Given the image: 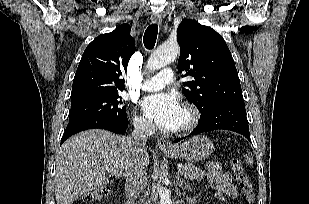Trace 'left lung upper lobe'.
I'll use <instances>...</instances> for the list:
<instances>
[{"label":"left lung upper lobe","instance_id":"1","mask_svg":"<svg viewBox=\"0 0 309 204\" xmlns=\"http://www.w3.org/2000/svg\"><path fill=\"white\" fill-rule=\"evenodd\" d=\"M177 41L178 71L194 78L183 83L182 91L200 113L220 103L242 101L234 60L219 33L196 20H184L177 29Z\"/></svg>","mask_w":309,"mask_h":204}]
</instances>
